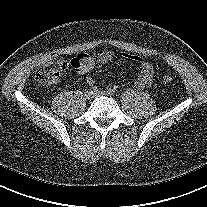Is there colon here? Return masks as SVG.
<instances>
[{
	"instance_id": "obj_1",
	"label": "colon",
	"mask_w": 207,
	"mask_h": 207,
	"mask_svg": "<svg viewBox=\"0 0 207 207\" xmlns=\"http://www.w3.org/2000/svg\"><path fill=\"white\" fill-rule=\"evenodd\" d=\"M67 68L68 62L66 60L61 57H53L36 72L35 79L41 85L54 84ZM160 78L164 84H169L173 80L169 73H163Z\"/></svg>"
}]
</instances>
